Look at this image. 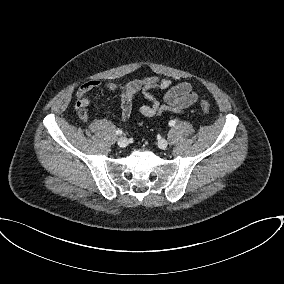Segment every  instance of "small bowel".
Wrapping results in <instances>:
<instances>
[{
  "mask_svg": "<svg viewBox=\"0 0 284 284\" xmlns=\"http://www.w3.org/2000/svg\"><path fill=\"white\" fill-rule=\"evenodd\" d=\"M101 88L119 95L121 101V122H126L130 118L133 111V99L138 92H141L149 102L140 106L137 110L144 117H156L165 113H183L197 102L199 98L189 82L173 84L172 80L157 76L134 79L124 84L90 80L83 83L76 92L75 109L81 121L85 122L89 118V93ZM155 90L164 91L163 102L155 96L153 93Z\"/></svg>",
  "mask_w": 284,
  "mask_h": 284,
  "instance_id": "obj_1",
  "label": "small bowel"
}]
</instances>
